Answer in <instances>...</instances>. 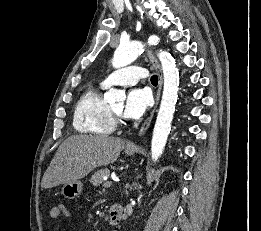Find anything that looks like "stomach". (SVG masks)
<instances>
[{"label":"stomach","instance_id":"stomach-1","mask_svg":"<svg viewBox=\"0 0 261 231\" xmlns=\"http://www.w3.org/2000/svg\"><path fill=\"white\" fill-rule=\"evenodd\" d=\"M136 152L135 149H126L125 153L129 156L134 155ZM83 184L80 180H75L73 182H69L64 184L62 188V194L67 199H74L78 197L82 192Z\"/></svg>","mask_w":261,"mask_h":231}]
</instances>
